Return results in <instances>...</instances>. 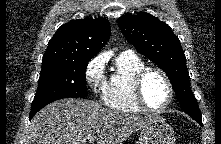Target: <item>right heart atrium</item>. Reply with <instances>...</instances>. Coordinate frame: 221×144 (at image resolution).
I'll return each mask as SVG.
<instances>
[{
    "mask_svg": "<svg viewBox=\"0 0 221 144\" xmlns=\"http://www.w3.org/2000/svg\"><path fill=\"white\" fill-rule=\"evenodd\" d=\"M106 61L103 56L94 57L87 65L85 70V78L88 86L92 91L104 97L107 80L105 75Z\"/></svg>",
    "mask_w": 221,
    "mask_h": 144,
    "instance_id": "obj_1",
    "label": "right heart atrium"
}]
</instances>
